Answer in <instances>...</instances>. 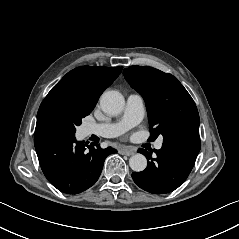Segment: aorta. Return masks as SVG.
<instances>
[{
    "mask_svg": "<svg viewBox=\"0 0 239 239\" xmlns=\"http://www.w3.org/2000/svg\"><path fill=\"white\" fill-rule=\"evenodd\" d=\"M125 105V100L123 95L118 91H106L102 94L100 98V106L104 113L116 116L120 114ZM130 168L140 172L146 169L147 159L142 154H135L129 159Z\"/></svg>",
    "mask_w": 239,
    "mask_h": 239,
    "instance_id": "762f6f07",
    "label": "aorta"
}]
</instances>
